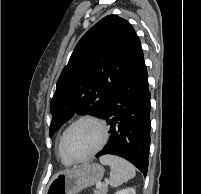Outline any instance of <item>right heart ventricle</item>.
<instances>
[{
	"mask_svg": "<svg viewBox=\"0 0 201 194\" xmlns=\"http://www.w3.org/2000/svg\"><path fill=\"white\" fill-rule=\"evenodd\" d=\"M58 154H59V157H60V159H61V162H62L64 165L69 166V165L72 164L71 162H69V161H67L66 159H64V158L62 157V155L60 154V151H59V144H58Z\"/></svg>",
	"mask_w": 201,
	"mask_h": 194,
	"instance_id": "right-heart-ventricle-1",
	"label": "right heart ventricle"
}]
</instances>
